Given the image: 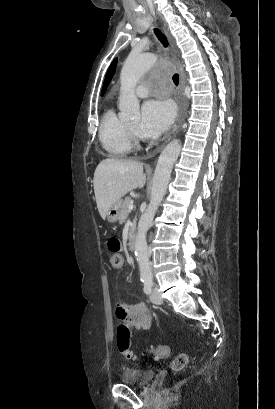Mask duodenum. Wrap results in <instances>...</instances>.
<instances>
[{
  "label": "duodenum",
  "mask_w": 275,
  "mask_h": 409,
  "mask_svg": "<svg viewBox=\"0 0 275 409\" xmlns=\"http://www.w3.org/2000/svg\"><path fill=\"white\" fill-rule=\"evenodd\" d=\"M136 245V232L135 230H131L128 235V248L130 250H134Z\"/></svg>",
  "instance_id": "duodenum-1"
}]
</instances>
